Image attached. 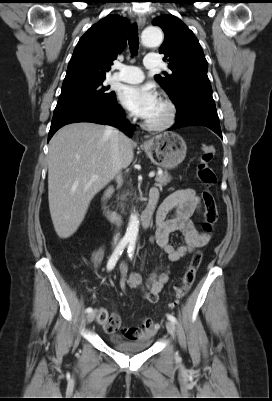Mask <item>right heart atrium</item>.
<instances>
[{"label":"right heart atrium","mask_w":272,"mask_h":401,"mask_svg":"<svg viewBox=\"0 0 272 401\" xmlns=\"http://www.w3.org/2000/svg\"><path fill=\"white\" fill-rule=\"evenodd\" d=\"M122 115H123V117L128 118L130 116V113L126 109H123Z\"/></svg>","instance_id":"right-heart-atrium-1"}]
</instances>
